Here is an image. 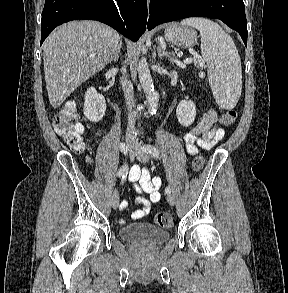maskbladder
<instances>
[{
  "mask_svg": "<svg viewBox=\"0 0 288 293\" xmlns=\"http://www.w3.org/2000/svg\"><path fill=\"white\" fill-rule=\"evenodd\" d=\"M122 240L134 243L157 245L168 240L167 230L149 223H134L122 227L119 231Z\"/></svg>",
  "mask_w": 288,
  "mask_h": 293,
  "instance_id": "1",
  "label": "bladder"
}]
</instances>
